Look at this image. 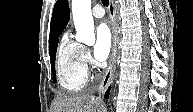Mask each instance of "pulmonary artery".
Listing matches in <instances>:
<instances>
[{"mask_svg":"<svg viewBox=\"0 0 193 112\" xmlns=\"http://www.w3.org/2000/svg\"><path fill=\"white\" fill-rule=\"evenodd\" d=\"M105 12H104V9L100 6V5H95L92 9V15L95 17V18H102L104 16Z\"/></svg>","mask_w":193,"mask_h":112,"instance_id":"1","label":"pulmonary artery"}]
</instances>
